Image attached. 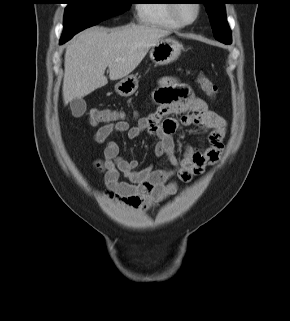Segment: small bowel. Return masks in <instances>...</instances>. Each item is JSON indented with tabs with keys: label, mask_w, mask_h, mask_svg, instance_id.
I'll list each match as a JSON object with an SVG mask.
<instances>
[{
	"label": "small bowel",
	"mask_w": 290,
	"mask_h": 321,
	"mask_svg": "<svg viewBox=\"0 0 290 321\" xmlns=\"http://www.w3.org/2000/svg\"><path fill=\"white\" fill-rule=\"evenodd\" d=\"M151 99L157 105L156 110L139 118L136 125L130 126L126 121L114 122L100 127L95 134L96 142L104 145L103 157L95 159L94 168L103 176L106 196L123 208L142 213L176 194L180 183L188 182L215 164L227 128L225 119L210 110L203 99L195 96L191 88L176 77L161 78ZM186 126L207 130L209 147L200 151L185 146L180 159L174 134ZM143 133L156 138L154 155L166 157L172 169H154L152 165L139 169L137 159L124 158L119 144L108 139L112 134H125L134 140ZM121 174L128 182L120 181Z\"/></svg>",
	"instance_id": "1"
}]
</instances>
